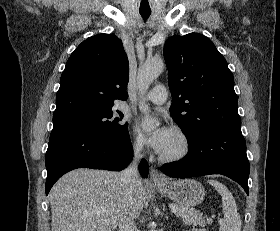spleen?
Here are the masks:
<instances>
[{
  "label": "spleen",
  "instance_id": "spleen-1",
  "mask_svg": "<svg viewBox=\"0 0 280 231\" xmlns=\"http://www.w3.org/2000/svg\"><path fill=\"white\" fill-rule=\"evenodd\" d=\"M209 183L215 187L222 197L224 217L220 221V231H241V217L237 213L236 201L231 191L216 179H209Z\"/></svg>",
  "mask_w": 280,
  "mask_h": 231
}]
</instances>
